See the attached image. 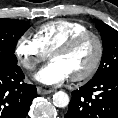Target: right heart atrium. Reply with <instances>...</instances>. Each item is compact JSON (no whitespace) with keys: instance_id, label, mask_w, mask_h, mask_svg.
Segmentation results:
<instances>
[{"instance_id":"right-heart-atrium-1","label":"right heart atrium","mask_w":118,"mask_h":118,"mask_svg":"<svg viewBox=\"0 0 118 118\" xmlns=\"http://www.w3.org/2000/svg\"><path fill=\"white\" fill-rule=\"evenodd\" d=\"M15 56L24 68L34 70L38 64L47 59L48 54L36 37L24 34L17 40Z\"/></svg>"}]
</instances>
